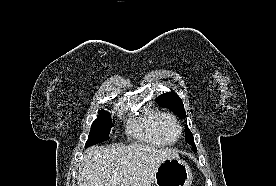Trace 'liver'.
<instances>
[{
    "instance_id": "liver-1",
    "label": "liver",
    "mask_w": 276,
    "mask_h": 186,
    "mask_svg": "<svg viewBox=\"0 0 276 186\" xmlns=\"http://www.w3.org/2000/svg\"><path fill=\"white\" fill-rule=\"evenodd\" d=\"M178 153L146 144L91 147L79 166L78 186H151L159 165ZM120 178V181L115 179Z\"/></svg>"
}]
</instances>
